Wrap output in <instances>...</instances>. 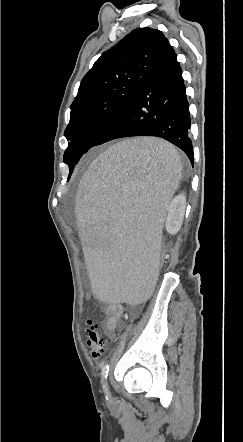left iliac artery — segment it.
Wrapping results in <instances>:
<instances>
[{
  "label": "left iliac artery",
  "instance_id": "obj_1",
  "mask_svg": "<svg viewBox=\"0 0 243 442\" xmlns=\"http://www.w3.org/2000/svg\"><path fill=\"white\" fill-rule=\"evenodd\" d=\"M108 372H109V364L106 363V364L102 367V370H101L102 382H103V388H104V391H105L106 393H108V391H107L106 384L104 383V380L107 378V376H108Z\"/></svg>",
  "mask_w": 243,
  "mask_h": 442
}]
</instances>
